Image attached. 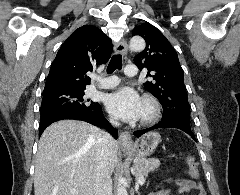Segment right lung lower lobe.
<instances>
[{"label": "right lung lower lobe", "instance_id": "98d812e1", "mask_svg": "<svg viewBox=\"0 0 240 195\" xmlns=\"http://www.w3.org/2000/svg\"><path fill=\"white\" fill-rule=\"evenodd\" d=\"M64 119L82 120L92 125L102 126L106 128L111 133V135H113L114 138L118 137L117 129L112 128L108 121L104 118L102 108L96 110L85 109L61 110L42 114L40 116L39 136L42 134V132L47 126H49L53 122Z\"/></svg>", "mask_w": 240, "mask_h": 195}]
</instances>
